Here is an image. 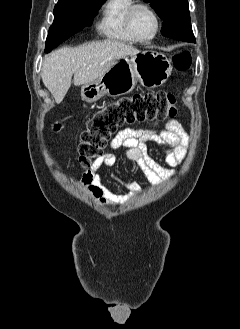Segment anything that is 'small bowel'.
<instances>
[{
    "instance_id": "1",
    "label": "small bowel",
    "mask_w": 240,
    "mask_h": 329,
    "mask_svg": "<svg viewBox=\"0 0 240 329\" xmlns=\"http://www.w3.org/2000/svg\"><path fill=\"white\" fill-rule=\"evenodd\" d=\"M189 137L178 120L168 121L164 128L157 131L154 128H126L121 130L111 141L112 150H121L122 156L134 161L147 179L155 186L170 177L173 173L160 165L149 153L148 144L158 146L165 155V162L169 167L177 166L184 158ZM117 161V156L107 153L93 163L92 167L83 175L81 186L101 206H115L133 199L139 192L136 182H124L128 193L117 194L103 184L100 169L111 167Z\"/></svg>"
}]
</instances>
